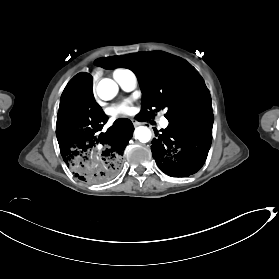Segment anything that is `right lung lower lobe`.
Wrapping results in <instances>:
<instances>
[{"label": "right lung lower lobe", "mask_w": 279, "mask_h": 279, "mask_svg": "<svg viewBox=\"0 0 279 279\" xmlns=\"http://www.w3.org/2000/svg\"><path fill=\"white\" fill-rule=\"evenodd\" d=\"M107 119L95 102L92 76H74L60 99L56 135L64 162L75 177L89 184L117 176L123 151L133 135V124L128 119H118L102 131Z\"/></svg>", "instance_id": "right-lung-lower-lobe-1"}]
</instances>
